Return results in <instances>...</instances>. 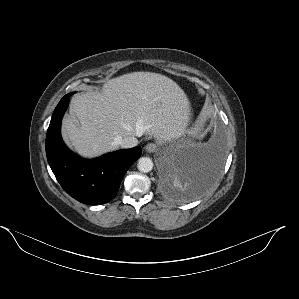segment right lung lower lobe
<instances>
[{"label": "right lung lower lobe", "instance_id": "right-lung-lower-lobe-1", "mask_svg": "<svg viewBox=\"0 0 299 299\" xmlns=\"http://www.w3.org/2000/svg\"><path fill=\"white\" fill-rule=\"evenodd\" d=\"M70 95H65L53 112L46 136L47 160L70 196L84 204H104L115 197L125 173L141 156L142 150L140 147L121 149L93 160L82 159L71 152L60 134Z\"/></svg>", "mask_w": 299, "mask_h": 299}]
</instances>
